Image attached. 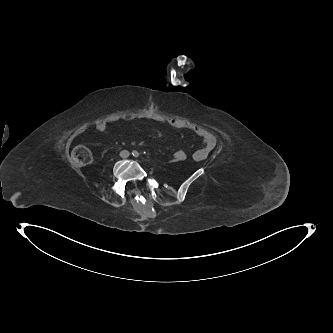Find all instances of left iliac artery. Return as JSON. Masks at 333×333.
Here are the masks:
<instances>
[{
  "instance_id": "44dca946",
  "label": "left iliac artery",
  "mask_w": 333,
  "mask_h": 333,
  "mask_svg": "<svg viewBox=\"0 0 333 333\" xmlns=\"http://www.w3.org/2000/svg\"><path fill=\"white\" fill-rule=\"evenodd\" d=\"M132 154H133L134 157H138L139 156V153L137 151H133Z\"/></svg>"
}]
</instances>
